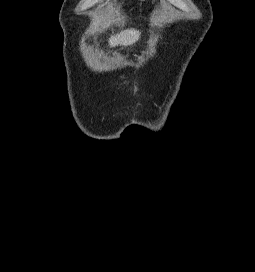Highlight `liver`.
<instances>
[{
  "mask_svg": "<svg viewBox=\"0 0 255 272\" xmlns=\"http://www.w3.org/2000/svg\"><path fill=\"white\" fill-rule=\"evenodd\" d=\"M141 33L135 29H127L119 34L113 35L109 39V45L115 47L118 45H132L139 40Z\"/></svg>",
  "mask_w": 255,
  "mask_h": 272,
  "instance_id": "liver-1",
  "label": "liver"
}]
</instances>
